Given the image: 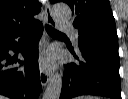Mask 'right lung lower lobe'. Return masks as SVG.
Here are the masks:
<instances>
[{"instance_id": "obj_1", "label": "right lung lower lobe", "mask_w": 128, "mask_h": 99, "mask_svg": "<svg viewBox=\"0 0 128 99\" xmlns=\"http://www.w3.org/2000/svg\"><path fill=\"white\" fill-rule=\"evenodd\" d=\"M43 33L40 21L35 20L29 25L0 39V94L11 99H38L41 82L38 68V41ZM21 37L19 49L26 65L24 68L15 67L16 63L23 64L17 57H10L9 50L16 52L20 47L15 38ZM24 38H27L25 40Z\"/></svg>"}]
</instances>
